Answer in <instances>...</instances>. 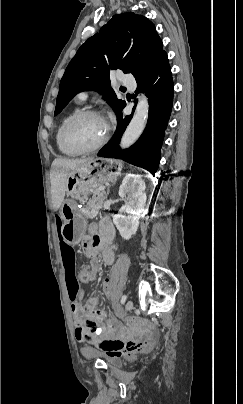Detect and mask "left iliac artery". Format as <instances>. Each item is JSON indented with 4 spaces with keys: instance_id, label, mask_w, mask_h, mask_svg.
<instances>
[{
    "instance_id": "left-iliac-artery-1",
    "label": "left iliac artery",
    "mask_w": 243,
    "mask_h": 404,
    "mask_svg": "<svg viewBox=\"0 0 243 404\" xmlns=\"http://www.w3.org/2000/svg\"><path fill=\"white\" fill-rule=\"evenodd\" d=\"M127 296L123 295L121 298V304H124L126 302Z\"/></svg>"
}]
</instances>
